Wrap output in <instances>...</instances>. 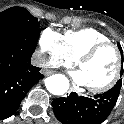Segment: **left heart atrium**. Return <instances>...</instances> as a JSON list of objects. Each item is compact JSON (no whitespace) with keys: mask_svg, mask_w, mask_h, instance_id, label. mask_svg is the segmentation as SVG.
<instances>
[{"mask_svg":"<svg viewBox=\"0 0 124 124\" xmlns=\"http://www.w3.org/2000/svg\"><path fill=\"white\" fill-rule=\"evenodd\" d=\"M73 80L78 85L86 86V83H85L84 78H83V74L80 71H77L73 74Z\"/></svg>","mask_w":124,"mask_h":124,"instance_id":"1","label":"left heart atrium"}]
</instances>
